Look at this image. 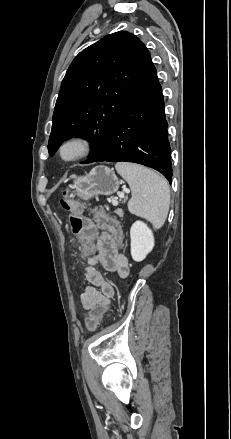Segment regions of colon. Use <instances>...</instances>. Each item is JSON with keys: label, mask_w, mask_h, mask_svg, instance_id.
Returning <instances> with one entry per match:
<instances>
[{"label": "colon", "mask_w": 231, "mask_h": 439, "mask_svg": "<svg viewBox=\"0 0 231 439\" xmlns=\"http://www.w3.org/2000/svg\"><path fill=\"white\" fill-rule=\"evenodd\" d=\"M61 205L64 209L69 211V225L71 231L78 237L84 247L92 245L95 226L109 229L115 235L119 245H122L123 236L119 224L101 210H92V223L91 220L82 215L80 205L75 200L65 196L61 199ZM93 257V250H84L82 261L90 262ZM109 312L110 306L108 303H95L94 306H89V314L85 322L87 329L90 331L94 330L97 323L105 320Z\"/></svg>", "instance_id": "colon-1"}]
</instances>
